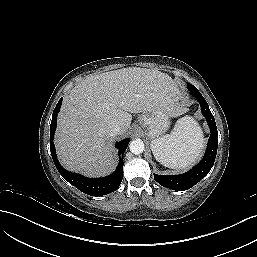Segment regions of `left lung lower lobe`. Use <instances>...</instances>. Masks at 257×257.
I'll return each instance as SVG.
<instances>
[{
    "instance_id": "0a47b994",
    "label": "left lung lower lobe",
    "mask_w": 257,
    "mask_h": 257,
    "mask_svg": "<svg viewBox=\"0 0 257 257\" xmlns=\"http://www.w3.org/2000/svg\"><path fill=\"white\" fill-rule=\"evenodd\" d=\"M191 94L201 105V111L204 117L207 119V123L211 130V136L209 138L207 150L203 159L190 171L181 175H154V179L159 184L176 191L187 190L197 184L203 177H205L211 170L217 154L218 134L215 119L210 112L209 106L201 93L191 92Z\"/></svg>"
}]
</instances>
